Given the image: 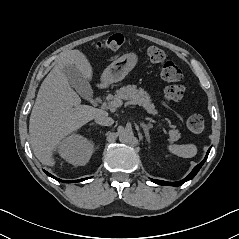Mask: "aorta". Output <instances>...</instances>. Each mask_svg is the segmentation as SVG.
<instances>
[{"instance_id": "1", "label": "aorta", "mask_w": 239, "mask_h": 239, "mask_svg": "<svg viewBox=\"0 0 239 239\" xmlns=\"http://www.w3.org/2000/svg\"><path fill=\"white\" fill-rule=\"evenodd\" d=\"M134 140V134L131 129H124L119 134V141L124 144H130Z\"/></svg>"}]
</instances>
